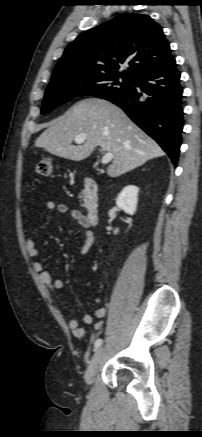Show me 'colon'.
I'll list each match as a JSON object with an SVG mask.
<instances>
[{"mask_svg": "<svg viewBox=\"0 0 202 437\" xmlns=\"http://www.w3.org/2000/svg\"><path fill=\"white\" fill-rule=\"evenodd\" d=\"M36 172L41 176H50L53 172V162L49 157L39 160L36 166Z\"/></svg>", "mask_w": 202, "mask_h": 437, "instance_id": "obj_1", "label": "colon"}]
</instances>
